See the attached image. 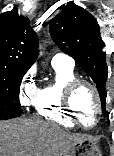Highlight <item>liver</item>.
<instances>
[{"label": "liver", "instance_id": "liver-1", "mask_svg": "<svg viewBox=\"0 0 114 156\" xmlns=\"http://www.w3.org/2000/svg\"><path fill=\"white\" fill-rule=\"evenodd\" d=\"M84 137L48 121L28 118L0 121V156H64Z\"/></svg>", "mask_w": 114, "mask_h": 156}]
</instances>
